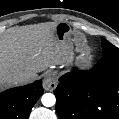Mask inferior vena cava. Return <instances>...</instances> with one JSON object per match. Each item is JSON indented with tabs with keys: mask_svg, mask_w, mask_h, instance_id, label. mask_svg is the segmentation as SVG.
<instances>
[{
	"mask_svg": "<svg viewBox=\"0 0 119 119\" xmlns=\"http://www.w3.org/2000/svg\"><path fill=\"white\" fill-rule=\"evenodd\" d=\"M31 81V77L27 74H23V75H20L18 77L15 78L14 80V84L15 85H22V84H26V83H29Z\"/></svg>",
	"mask_w": 119,
	"mask_h": 119,
	"instance_id": "inferior-vena-cava-1",
	"label": "inferior vena cava"
}]
</instances>
